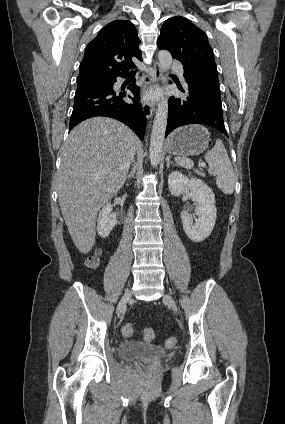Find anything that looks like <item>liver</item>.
I'll return each mask as SVG.
<instances>
[{"label": "liver", "instance_id": "obj_1", "mask_svg": "<svg viewBox=\"0 0 285 424\" xmlns=\"http://www.w3.org/2000/svg\"><path fill=\"white\" fill-rule=\"evenodd\" d=\"M137 141L123 123L93 117L77 125L61 147L59 205L70 236L83 254L95 244L99 209L126 181Z\"/></svg>", "mask_w": 285, "mask_h": 424}]
</instances>
